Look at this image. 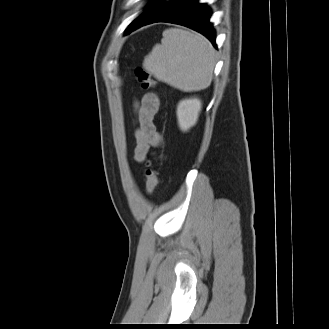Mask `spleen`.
<instances>
[{
	"instance_id": "1",
	"label": "spleen",
	"mask_w": 329,
	"mask_h": 329,
	"mask_svg": "<svg viewBox=\"0 0 329 329\" xmlns=\"http://www.w3.org/2000/svg\"><path fill=\"white\" fill-rule=\"evenodd\" d=\"M215 51L200 34L170 28L163 32L143 62V67L157 80L181 91L207 88L213 78Z\"/></svg>"
}]
</instances>
